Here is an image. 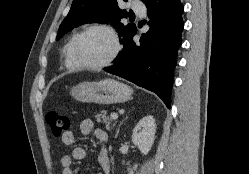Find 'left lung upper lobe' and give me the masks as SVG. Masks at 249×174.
Listing matches in <instances>:
<instances>
[{
  "label": "left lung upper lobe",
  "instance_id": "5c2ea615",
  "mask_svg": "<svg viewBox=\"0 0 249 174\" xmlns=\"http://www.w3.org/2000/svg\"><path fill=\"white\" fill-rule=\"evenodd\" d=\"M120 0H73L71 9L61 23L57 38L59 40L64 34L84 23H111L120 31L119 40L122 43L136 33L135 24L123 25L122 18H127L128 13L118 7ZM127 1V0H123ZM148 0H142L145 4Z\"/></svg>",
  "mask_w": 249,
  "mask_h": 174
}]
</instances>
